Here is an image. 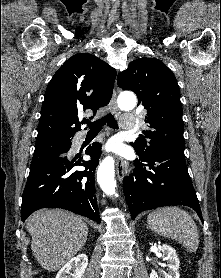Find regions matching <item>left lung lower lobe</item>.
Segmentation results:
<instances>
[{
  "label": "left lung lower lobe",
  "instance_id": "obj_1",
  "mask_svg": "<svg viewBox=\"0 0 221 278\" xmlns=\"http://www.w3.org/2000/svg\"><path fill=\"white\" fill-rule=\"evenodd\" d=\"M137 169L123 182L131 217L163 206H188L203 221L199 201L185 162L184 150L163 148L148 157L139 155Z\"/></svg>",
  "mask_w": 221,
  "mask_h": 278
}]
</instances>
